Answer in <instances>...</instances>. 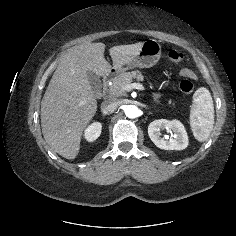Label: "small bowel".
<instances>
[{
    "mask_svg": "<svg viewBox=\"0 0 236 236\" xmlns=\"http://www.w3.org/2000/svg\"><path fill=\"white\" fill-rule=\"evenodd\" d=\"M182 74L185 75V76H193L192 71L189 70V69H184V70H182ZM156 96L158 97L159 94H157Z\"/></svg>",
    "mask_w": 236,
    "mask_h": 236,
    "instance_id": "small-bowel-1",
    "label": "small bowel"
}]
</instances>
